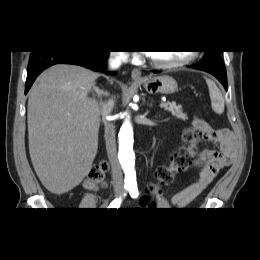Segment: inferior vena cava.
Segmentation results:
<instances>
[{"label": "inferior vena cava", "mask_w": 260, "mask_h": 260, "mask_svg": "<svg viewBox=\"0 0 260 260\" xmlns=\"http://www.w3.org/2000/svg\"><path fill=\"white\" fill-rule=\"evenodd\" d=\"M127 60L128 55L126 52L112 51L108 59L109 69L117 70ZM114 104V100L109 99L101 105V109L106 113H110L114 108ZM105 140L107 155L111 165L113 185L115 188L121 189L123 187V175L116 154L115 126L111 123L105 124Z\"/></svg>", "instance_id": "inferior-vena-cava-1"}]
</instances>
